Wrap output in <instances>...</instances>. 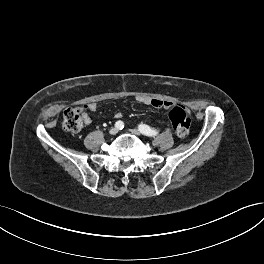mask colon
Returning a JSON list of instances; mask_svg holds the SVG:
<instances>
[{"label": "colon", "instance_id": "5ec220e1", "mask_svg": "<svg viewBox=\"0 0 264 264\" xmlns=\"http://www.w3.org/2000/svg\"><path fill=\"white\" fill-rule=\"evenodd\" d=\"M85 108L70 107L64 111L62 126L71 133L79 132L84 125ZM170 122L180 138H185L189 134L191 119L186 109L176 106L169 112Z\"/></svg>", "mask_w": 264, "mask_h": 264}]
</instances>
